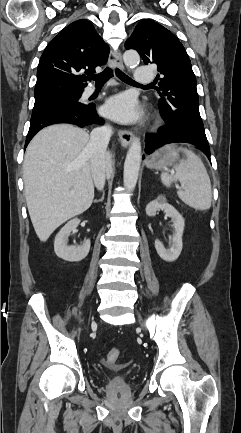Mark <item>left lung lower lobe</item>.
Listing matches in <instances>:
<instances>
[{
	"label": "left lung lower lobe",
	"mask_w": 241,
	"mask_h": 433,
	"mask_svg": "<svg viewBox=\"0 0 241 433\" xmlns=\"http://www.w3.org/2000/svg\"><path fill=\"white\" fill-rule=\"evenodd\" d=\"M145 152L152 153L155 149L170 143H189L202 150L210 160V149L207 140L201 139L196 135L180 127L165 124L156 134H147L145 137Z\"/></svg>",
	"instance_id": "left-lung-lower-lobe-1"
}]
</instances>
